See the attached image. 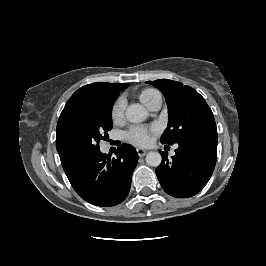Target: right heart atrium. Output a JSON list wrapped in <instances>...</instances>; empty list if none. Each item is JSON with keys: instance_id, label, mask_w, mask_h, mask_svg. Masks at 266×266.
<instances>
[{"instance_id": "d8ad5b80", "label": "right heart atrium", "mask_w": 266, "mask_h": 266, "mask_svg": "<svg viewBox=\"0 0 266 266\" xmlns=\"http://www.w3.org/2000/svg\"><path fill=\"white\" fill-rule=\"evenodd\" d=\"M125 111V100L121 97L119 98L112 108V118L115 121H119L123 118Z\"/></svg>"}]
</instances>
